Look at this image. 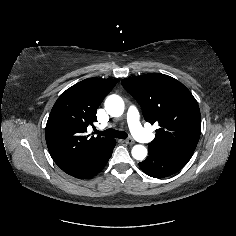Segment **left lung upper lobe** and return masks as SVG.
<instances>
[{
	"label": "left lung upper lobe",
	"mask_w": 236,
	"mask_h": 236,
	"mask_svg": "<svg viewBox=\"0 0 236 236\" xmlns=\"http://www.w3.org/2000/svg\"><path fill=\"white\" fill-rule=\"evenodd\" d=\"M122 85L141 106L145 120L160 126L148 149L193 154L200 137L201 115L196 99L182 83L152 73L125 78Z\"/></svg>",
	"instance_id": "1"
}]
</instances>
